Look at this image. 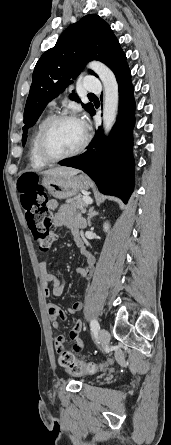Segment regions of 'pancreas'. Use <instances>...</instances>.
I'll list each match as a JSON object with an SVG mask.
<instances>
[{"mask_svg":"<svg viewBox=\"0 0 171 445\" xmlns=\"http://www.w3.org/2000/svg\"><path fill=\"white\" fill-rule=\"evenodd\" d=\"M87 207V203L84 201L83 197L77 196L72 199H68L66 201V204L61 207V210L65 213H67L70 217V220H76V217H78L80 214L78 213L80 211H84Z\"/></svg>","mask_w":171,"mask_h":445,"instance_id":"obj_1","label":"pancreas"}]
</instances>
